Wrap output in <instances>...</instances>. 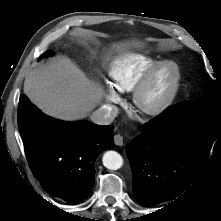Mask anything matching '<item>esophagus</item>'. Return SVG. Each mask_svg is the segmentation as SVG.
I'll use <instances>...</instances> for the list:
<instances>
[{"mask_svg":"<svg viewBox=\"0 0 221 221\" xmlns=\"http://www.w3.org/2000/svg\"><path fill=\"white\" fill-rule=\"evenodd\" d=\"M114 143L117 145V146H122L123 145V137L120 135V134H116L114 136Z\"/></svg>","mask_w":221,"mask_h":221,"instance_id":"1","label":"esophagus"}]
</instances>
